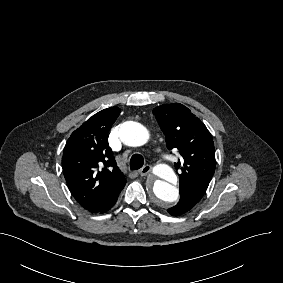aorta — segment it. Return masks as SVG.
Listing matches in <instances>:
<instances>
[{"label": "aorta", "instance_id": "762f6f07", "mask_svg": "<svg viewBox=\"0 0 283 283\" xmlns=\"http://www.w3.org/2000/svg\"><path fill=\"white\" fill-rule=\"evenodd\" d=\"M120 140L127 146L137 147L144 145L149 139L148 130L140 123L127 121L121 124L119 129ZM158 179L154 181L152 191L161 205L176 202L179 197L178 188L172 184L177 178L172 168L166 164H160L155 168Z\"/></svg>", "mask_w": 283, "mask_h": 283}]
</instances>
